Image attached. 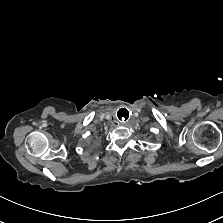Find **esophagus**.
I'll use <instances>...</instances> for the list:
<instances>
[{
    "label": "esophagus",
    "mask_w": 223,
    "mask_h": 223,
    "mask_svg": "<svg viewBox=\"0 0 223 223\" xmlns=\"http://www.w3.org/2000/svg\"><path fill=\"white\" fill-rule=\"evenodd\" d=\"M116 119L119 123L121 124H126L130 121L131 119V114L128 110L126 109H121L117 112L116 114Z\"/></svg>",
    "instance_id": "1"
}]
</instances>
